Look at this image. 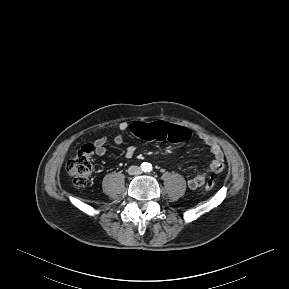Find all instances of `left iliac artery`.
<instances>
[{
	"label": "left iliac artery",
	"instance_id": "1",
	"mask_svg": "<svg viewBox=\"0 0 289 289\" xmlns=\"http://www.w3.org/2000/svg\"><path fill=\"white\" fill-rule=\"evenodd\" d=\"M147 171H148V172L152 171V166H151V165H149V166L147 167Z\"/></svg>",
	"mask_w": 289,
	"mask_h": 289
}]
</instances>
